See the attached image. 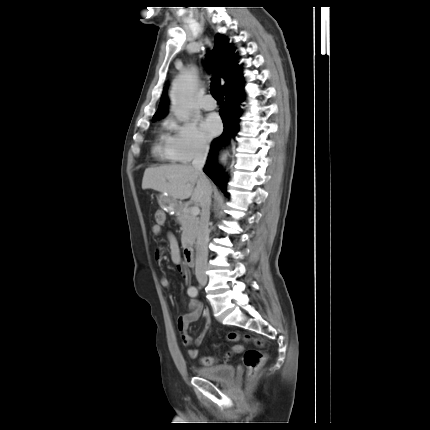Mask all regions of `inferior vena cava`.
<instances>
[{
  "label": "inferior vena cava",
  "instance_id": "obj_1",
  "mask_svg": "<svg viewBox=\"0 0 430 430\" xmlns=\"http://www.w3.org/2000/svg\"><path fill=\"white\" fill-rule=\"evenodd\" d=\"M209 147H201L195 154L192 162L193 168L199 175V180L205 187L204 196L201 201V217L197 232V254L195 275L197 278H206L207 260H208V242H209V229L208 223L210 218L211 194L210 182L203 172Z\"/></svg>",
  "mask_w": 430,
  "mask_h": 430
}]
</instances>
